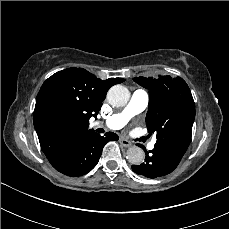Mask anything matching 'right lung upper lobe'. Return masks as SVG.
I'll list each match as a JSON object with an SVG mask.
<instances>
[{"instance_id": "right-lung-upper-lobe-1", "label": "right lung upper lobe", "mask_w": 229, "mask_h": 229, "mask_svg": "<svg viewBox=\"0 0 229 229\" xmlns=\"http://www.w3.org/2000/svg\"><path fill=\"white\" fill-rule=\"evenodd\" d=\"M122 78L98 79L83 68H67L42 85L33 114L40 146L54 161L74 140L87 135L89 119L97 114L109 88Z\"/></svg>"}]
</instances>
